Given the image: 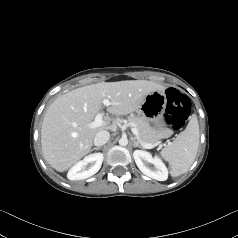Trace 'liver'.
<instances>
[{"mask_svg": "<svg viewBox=\"0 0 238 238\" xmlns=\"http://www.w3.org/2000/svg\"><path fill=\"white\" fill-rule=\"evenodd\" d=\"M165 87L146 80L101 82L69 91L57 98L47 109L41 128V146L45 160L58 172L68 170L91 151L95 135L116 124H90L102 109L104 99L110 100L107 111L127 115L138 111L145 97Z\"/></svg>", "mask_w": 238, "mask_h": 238, "instance_id": "6515ba94", "label": "liver"}]
</instances>
